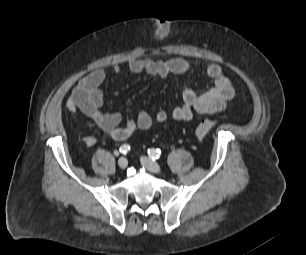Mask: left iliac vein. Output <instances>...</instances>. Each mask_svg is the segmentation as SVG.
I'll use <instances>...</instances> for the list:
<instances>
[{
	"mask_svg": "<svg viewBox=\"0 0 306 255\" xmlns=\"http://www.w3.org/2000/svg\"><path fill=\"white\" fill-rule=\"evenodd\" d=\"M140 161H141V164L147 170H149L153 173H161L162 169H161L160 165L157 162L151 160L150 158L143 156V157H141Z\"/></svg>",
	"mask_w": 306,
	"mask_h": 255,
	"instance_id": "left-iliac-vein-1",
	"label": "left iliac vein"
}]
</instances>
